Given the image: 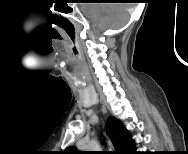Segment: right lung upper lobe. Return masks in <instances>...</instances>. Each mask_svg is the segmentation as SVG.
Instances as JSON below:
<instances>
[{"label": "right lung upper lobe", "instance_id": "cb5924a9", "mask_svg": "<svg viewBox=\"0 0 188 154\" xmlns=\"http://www.w3.org/2000/svg\"><path fill=\"white\" fill-rule=\"evenodd\" d=\"M107 130L118 153L132 154L135 152V143L131 135L118 119L110 117L107 122ZM66 151L74 153L75 149L74 147H69Z\"/></svg>", "mask_w": 188, "mask_h": 154}]
</instances>
